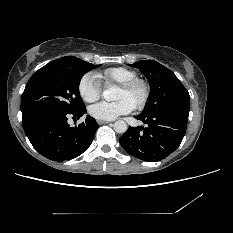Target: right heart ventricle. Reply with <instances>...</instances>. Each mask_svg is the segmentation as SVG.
Wrapping results in <instances>:
<instances>
[{
    "instance_id": "1",
    "label": "right heart ventricle",
    "mask_w": 233,
    "mask_h": 233,
    "mask_svg": "<svg viewBox=\"0 0 233 233\" xmlns=\"http://www.w3.org/2000/svg\"><path fill=\"white\" fill-rule=\"evenodd\" d=\"M96 77L105 85L112 83L120 84L137 77V73L136 71L126 67H111L96 74Z\"/></svg>"
}]
</instances>
